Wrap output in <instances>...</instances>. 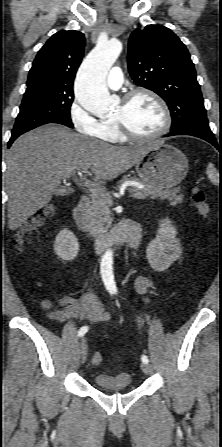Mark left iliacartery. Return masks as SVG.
Instances as JSON below:
<instances>
[{
  "instance_id": "obj_1",
  "label": "left iliac artery",
  "mask_w": 222,
  "mask_h": 447,
  "mask_svg": "<svg viewBox=\"0 0 222 447\" xmlns=\"http://www.w3.org/2000/svg\"><path fill=\"white\" fill-rule=\"evenodd\" d=\"M141 360L144 363H148L149 362V359H148V357L146 355H142Z\"/></svg>"
}]
</instances>
